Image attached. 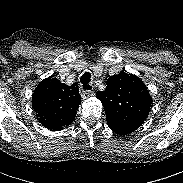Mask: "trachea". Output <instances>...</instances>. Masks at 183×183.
Wrapping results in <instances>:
<instances>
[{
    "instance_id": "trachea-1",
    "label": "trachea",
    "mask_w": 183,
    "mask_h": 183,
    "mask_svg": "<svg viewBox=\"0 0 183 183\" xmlns=\"http://www.w3.org/2000/svg\"><path fill=\"white\" fill-rule=\"evenodd\" d=\"M80 81L83 84V89L84 90H91V87L88 85L89 82L91 81V74L89 72H85L81 76Z\"/></svg>"
}]
</instances>
